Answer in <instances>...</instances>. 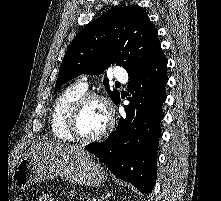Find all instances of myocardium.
I'll list each match as a JSON object with an SVG mask.
<instances>
[{"mask_svg":"<svg viewBox=\"0 0 221 201\" xmlns=\"http://www.w3.org/2000/svg\"><path fill=\"white\" fill-rule=\"evenodd\" d=\"M92 100L100 101L105 106L107 114V124L106 127L99 134L92 137H83L78 132L77 123L81 111L83 110L85 105ZM114 123H115L114 108L110 99L105 95L97 92H85L72 106L68 117L67 127L73 140L81 143H93L107 136L109 132L112 130Z\"/></svg>","mask_w":221,"mask_h":201,"instance_id":"obj_1","label":"myocardium"}]
</instances>
